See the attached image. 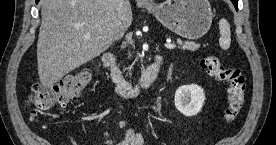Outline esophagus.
<instances>
[{
  "label": "esophagus",
  "instance_id": "esophagus-1",
  "mask_svg": "<svg viewBox=\"0 0 276 145\" xmlns=\"http://www.w3.org/2000/svg\"><path fill=\"white\" fill-rule=\"evenodd\" d=\"M143 2H145V3H148L149 1L148 0H142Z\"/></svg>",
  "mask_w": 276,
  "mask_h": 145
}]
</instances>
